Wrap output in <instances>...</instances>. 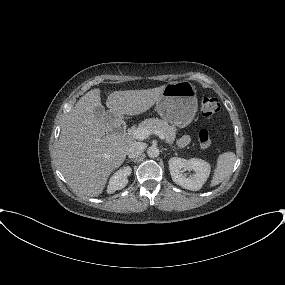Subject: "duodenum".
<instances>
[{"mask_svg":"<svg viewBox=\"0 0 285 285\" xmlns=\"http://www.w3.org/2000/svg\"><path fill=\"white\" fill-rule=\"evenodd\" d=\"M125 124L121 120H114L110 126V133L122 137L125 134Z\"/></svg>","mask_w":285,"mask_h":285,"instance_id":"410a0bca","label":"duodenum"}]
</instances>
